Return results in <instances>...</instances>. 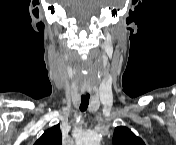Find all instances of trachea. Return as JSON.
Instances as JSON below:
<instances>
[{"mask_svg":"<svg viewBox=\"0 0 176 145\" xmlns=\"http://www.w3.org/2000/svg\"><path fill=\"white\" fill-rule=\"evenodd\" d=\"M89 99H90V95H86V96L81 97V104H80L81 112H84L87 110L88 105H89Z\"/></svg>","mask_w":176,"mask_h":145,"instance_id":"3493384b","label":"trachea"}]
</instances>
